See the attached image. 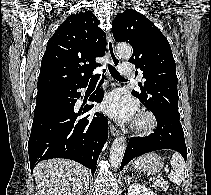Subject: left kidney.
<instances>
[{
  "instance_id": "1",
  "label": "left kidney",
  "mask_w": 211,
  "mask_h": 195,
  "mask_svg": "<svg viewBox=\"0 0 211 195\" xmlns=\"http://www.w3.org/2000/svg\"><path fill=\"white\" fill-rule=\"evenodd\" d=\"M128 195H157V194L139 183H134L129 185Z\"/></svg>"
}]
</instances>
